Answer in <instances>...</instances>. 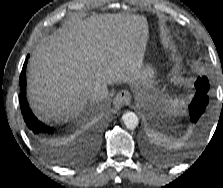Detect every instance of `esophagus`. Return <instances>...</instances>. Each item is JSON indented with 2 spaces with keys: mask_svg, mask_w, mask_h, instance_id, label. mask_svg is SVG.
<instances>
[{
  "mask_svg": "<svg viewBox=\"0 0 223 188\" xmlns=\"http://www.w3.org/2000/svg\"><path fill=\"white\" fill-rule=\"evenodd\" d=\"M131 101V95L128 91L122 90L119 93L116 94L113 105L115 108H122L130 104Z\"/></svg>",
  "mask_w": 223,
  "mask_h": 188,
  "instance_id": "obj_1",
  "label": "esophagus"
}]
</instances>
